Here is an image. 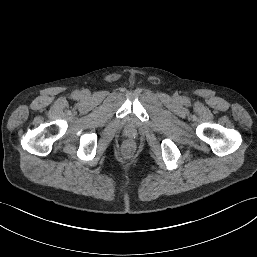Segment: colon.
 Masks as SVG:
<instances>
[{"mask_svg":"<svg viewBox=\"0 0 257 257\" xmlns=\"http://www.w3.org/2000/svg\"><path fill=\"white\" fill-rule=\"evenodd\" d=\"M133 154V145L128 143L123 148V155L126 157H130Z\"/></svg>","mask_w":257,"mask_h":257,"instance_id":"5ec220e1","label":"colon"}]
</instances>
